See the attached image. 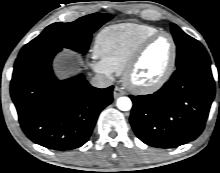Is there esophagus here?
<instances>
[{"instance_id":"1","label":"esophagus","mask_w":220,"mask_h":173,"mask_svg":"<svg viewBox=\"0 0 220 173\" xmlns=\"http://www.w3.org/2000/svg\"><path fill=\"white\" fill-rule=\"evenodd\" d=\"M123 95H125V91L122 88L116 86L113 91V97L117 99L118 97Z\"/></svg>"}]
</instances>
